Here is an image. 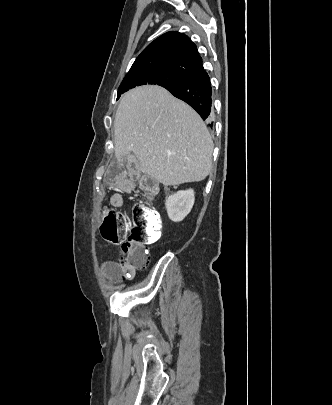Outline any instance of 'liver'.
I'll return each instance as SVG.
<instances>
[{
  "mask_svg": "<svg viewBox=\"0 0 332 405\" xmlns=\"http://www.w3.org/2000/svg\"><path fill=\"white\" fill-rule=\"evenodd\" d=\"M115 157L130 153L140 170L164 186L204 180L213 141L201 117L166 89L136 87L120 100L114 120Z\"/></svg>",
  "mask_w": 332,
  "mask_h": 405,
  "instance_id": "liver-1",
  "label": "liver"
}]
</instances>
